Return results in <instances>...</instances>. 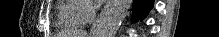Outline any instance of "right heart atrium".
Masks as SVG:
<instances>
[{
    "label": "right heart atrium",
    "mask_w": 219,
    "mask_h": 37,
    "mask_svg": "<svg viewBox=\"0 0 219 37\" xmlns=\"http://www.w3.org/2000/svg\"><path fill=\"white\" fill-rule=\"evenodd\" d=\"M81 5L80 18L83 22L89 21L93 18L95 13V8L90 0H81L79 1Z\"/></svg>",
    "instance_id": "d8ad5b80"
}]
</instances>
